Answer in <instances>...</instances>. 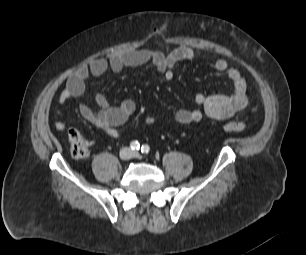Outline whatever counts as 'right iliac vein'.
Here are the masks:
<instances>
[{"mask_svg": "<svg viewBox=\"0 0 306 255\" xmlns=\"http://www.w3.org/2000/svg\"><path fill=\"white\" fill-rule=\"evenodd\" d=\"M131 157H132V153L128 148H125L120 152V158L123 160H128Z\"/></svg>", "mask_w": 306, "mask_h": 255, "instance_id": "63e3f726", "label": "right iliac vein"}]
</instances>
